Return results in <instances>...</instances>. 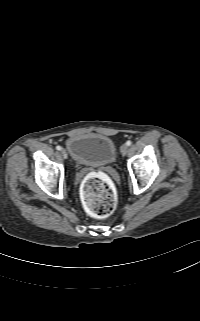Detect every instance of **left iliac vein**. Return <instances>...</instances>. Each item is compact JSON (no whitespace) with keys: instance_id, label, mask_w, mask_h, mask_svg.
<instances>
[{"instance_id":"left-iliac-vein-1","label":"left iliac vein","mask_w":200,"mask_h":321,"mask_svg":"<svg viewBox=\"0 0 200 321\" xmlns=\"http://www.w3.org/2000/svg\"><path fill=\"white\" fill-rule=\"evenodd\" d=\"M120 151L123 155H125L128 152V146L126 144H123L120 148Z\"/></svg>"}]
</instances>
